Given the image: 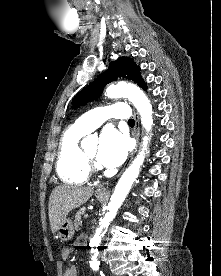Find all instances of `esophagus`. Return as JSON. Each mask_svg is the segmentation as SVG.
<instances>
[{"mask_svg":"<svg viewBox=\"0 0 221 276\" xmlns=\"http://www.w3.org/2000/svg\"><path fill=\"white\" fill-rule=\"evenodd\" d=\"M135 117H136V124H135L134 136H135V139H136V146H135V149L132 151V153L129 156L128 164L133 159V157H134V155L137 151L138 145H139V117H138L137 113H135ZM98 192H100V193H109V188L108 187L99 188Z\"/></svg>","mask_w":221,"mask_h":276,"instance_id":"obj_1","label":"esophagus"}]
</instances>
